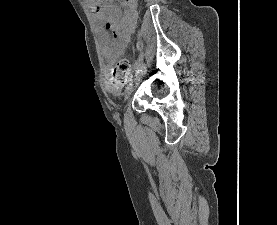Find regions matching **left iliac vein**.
I'll return each mask as SVG.
<instances>
[{"label":"left iliac vein","instance_id":"1","mask_svg":"<svg viewBox=\"0 0 277 225\" xmlns=\"http://www.w3.org/2000/svg\"><path fill=\"white\" fill-rule=\"evenodd\" d=\"M145 72H140L139 74H137L135 76V81H139L143 76H144ZM133 91V85L130 84L127 88H126V91H125V99H127L130 94L132 93Z\"/></svg>","mask_w":277,"mask_h":225}]
</instances>
